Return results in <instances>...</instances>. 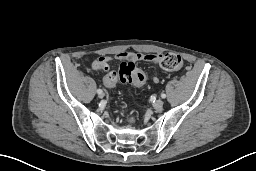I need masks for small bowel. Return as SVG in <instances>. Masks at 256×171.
Here are the masks:
<instances>
[{"label":"small bowel","instance_id":"small-bowel-1","mask_svg":"<svg viewBox=\"0 0 256 171\" xmlns=\"http://www.w3.org/2000/svg\"><path fill=\"white\" fill-rule=\"evenodd\" d=\"M160 56L161 55H158V54H144V53L122 51L116 55V59L129 60V61H145L153 64H158L160 60ZM110 59H111L110 57L105 58L106 61H109ZM150 80L154 83H158L159 77L156 74H152L150 76ZM103 83L108 88H111L115 85V83L110 79L109 75H106L103 78Z\"/></svg>","mask_w":256,"mask_h":171}]
</instances>
